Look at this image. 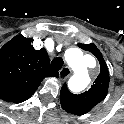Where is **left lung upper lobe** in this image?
<instances>
[{
  "label": "left lung upper lobe",
  "instance_id": "5c2ea615",
  "mask_svg": "<svg viewBox=\"0 0 124 124\" xmlns=\"http://www.w3.org/2000/svg\"><path fill=\"white\" fill-rule=\"evenodd\" d=\"M78 46L83 50L93 53L97 57L100 63V74L91 88L79 95L72 94L68 90L67 85L64 84L61 89L60 101L62 108L68 113L83 115L88 113L105 98L108 92L109 72L101 52L93 43H79Z\"/></svg>",
  "mask_w": 124,
  "mask_h": 124
}]
</instances>
